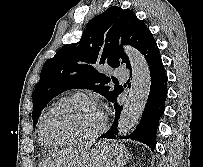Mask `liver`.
<instances>
[{
	"mask_svg": "<svg viewBox=\"0 0 203 167\" xmlns=\"http://www.w3.org/2000/svg\"><path fill=\"white\" fill-rule=\"evenodd\" d=\"M86 155L85 151L80 150H66L52 153L40 162L39 167H79L86 158Z\"/></svg>",
	"mask_w": 203,
	"mask_h": 167,
	"instance_id": "obj_1",
	"label": "liver"
}]
</instances>
